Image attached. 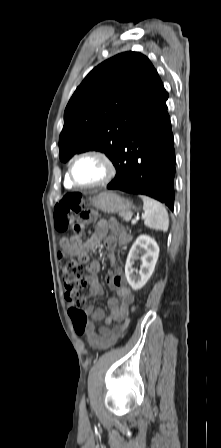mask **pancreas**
Masks as SVG:
<instances>
[{
	"label": "pancreas",
	"instance_id": "obj_1",
	"mask_svg": "<svg viewBox=\"0 0 221 448\" xmlns=\"http://www.w3.org/2000/svg\"><path fill=\"white\" fill-rule=\"evenodd\" d=\"M125 221H129L131 215L121 214L120 215Z\"/></svg>",
	"mask_w": 221,
	"mask_h": 448
}]
</instances>
